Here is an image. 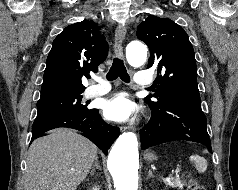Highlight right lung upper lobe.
Wrapping results in <instances>:
<instances>
[{
	"label": "right lung upper lobe",
	"instance_id": "obj_1",
	"mask_svg": "<svg viewBox=\"0 0 238 190\" xmlns=\"http://www.w3.org/2000/svg\"><path fill=\"white\" fill-rule=\"evenodd\" d=\"M108 44L93 21L67 26L53 41L44 71L40 99L82 93V75L98 71Z\"/></svg>",
	"mask_w": 238,
	"mask_h": 190
}]
</instances>
